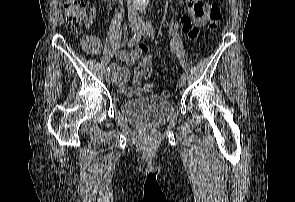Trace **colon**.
Instances as JSON below:
<instances>
[{
  "mask_svg": "<svg viewBox=\"0 0 295 202\" xmlns=\"http://www.w3.org/2000/svg\"><path fill=\"white\" fill-rule=\"evenodd\" d=\"M86 8L87 0H65V24L68 31L77 32L80 30L85 18ZM208 16L210 28L215 29L222 19V11L218 3L211 5ZM140 61L142 62L139 66H136V71H140L142 74H150L151 76V65H153L152 52H145V56H140ZM153 86V82H145V85H142V90H153ZM161 96L163 98H168L170 96V92L168 90H163Z\"/></svg>",
  "mask_w": 295,
  "mask_h": 202,
  "instance_id": "1",
  "label": "colon"
}]
</instances>
